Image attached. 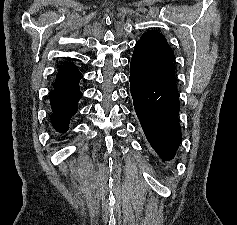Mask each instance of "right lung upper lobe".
<instances>
[{
  "label": "right lung upper lobe",
  "instance_id": "cb5924a9",
  "mask_svg": "<svg viewBox=\"0 0 237 225\" xmlns=\"http://www.w3.org/2000/svg\"><path fill=\"white\" fill-rule=\"evenodd\" d=\"M81 73L74 63L68 62L59 68V72L53 85L73 86L79 84Z\"/></svg>",
  "mask_w": 237,
  "mask_h": 225
}]
</instances>
